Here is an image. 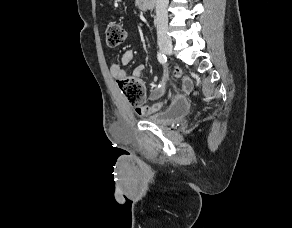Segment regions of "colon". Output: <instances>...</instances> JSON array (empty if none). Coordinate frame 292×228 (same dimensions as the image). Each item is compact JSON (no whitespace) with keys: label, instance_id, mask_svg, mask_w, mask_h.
Masks as SVG:
<instances>
[{"label":"colon","instance_id":"obj_1","mask_svg":"<svg viewBox=\"0 0 292 228\" xmlns=\"http://www.w3.org/2000/svg\"><path fill=\"white\" fill-rule=\"evenodd\" d=\"M106 41L110 46H118L127 38L125 28L117 22L111 21L105 29ZM119 88L130 105L140 108L144 101V89L135 77H125L118 80Z\"/></svg>","mask_w":292,"mask_h":228}]
</instances>
